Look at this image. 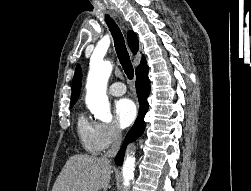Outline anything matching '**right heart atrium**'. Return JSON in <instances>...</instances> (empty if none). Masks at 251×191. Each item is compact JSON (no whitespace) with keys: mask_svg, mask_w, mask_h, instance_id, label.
<instances>
[{"mask_svg":"<svg viewBox=\"0 0 251 191\" xmlns=\"http://www.w3.org/2000/svg\"><path fill=\"white\" fill-rule=\"evenodd\" d=\"M121 133L112 123L100 122L96 124V141L99 150H105L119 143Z\"/></svg>","mask_w":251,"mask_h":191,"instance_id":"d8ad5b80","label":"right heart atrium"}]
</instances>
